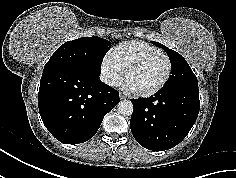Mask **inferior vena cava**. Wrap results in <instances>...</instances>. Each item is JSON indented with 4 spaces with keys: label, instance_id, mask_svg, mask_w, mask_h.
I'll return each instance as SVG.
<instances>
[{
    "label": "inferior vena cava",
    "instance_id": "1",
    "mask_svg": "<svg viewBox=\"0 0 236 178\" xmlns=\"http://www.w3.org/2000/svg\"><path fill=\"white\" fill-rule=\"evenodd\" d=\"M100 78H101V81L104 82L105 84H108L110 86H113L115 84L114 78L110 75L101 74Z\"/></svg>",
    "mask_w": 236,
    "mask_h": 178
}]
</instances>
